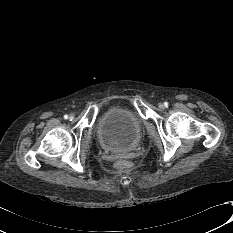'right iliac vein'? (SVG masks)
Returning <instances> with one entry per match:
<instances>
[{
	"instance_id": "63e3f726",
	"label": "right iliac vein",
	"mask_w": 233,
	"mask_h": 233,
	"mask_svg": "<svg viewBox=\"0 0 233 233\" xmlns=\"http://www.w3.org/2000/svg\"><path fill=\"white\" fill-rule=\"evenodd\" d=\"M69 119H70V120H73V119H74V115L71 114V115L69 116Z\"/></svg>"
}]
</instances>
